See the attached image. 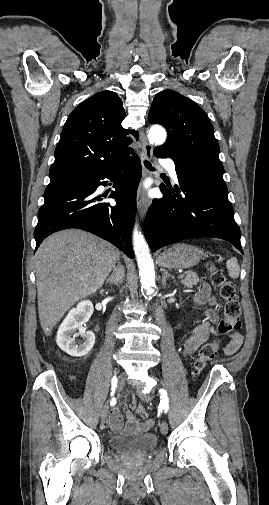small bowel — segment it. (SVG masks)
<instances>
[{"label": "small bowel", "instance_id": "small-bowel-1", "mask_svg": "<svg viewBox=\"0 0 269 505\" xmlns=\"http://www.w3.org/2000/svg\"><path fill=\"white\" fill-rule=\"evenodd\" d=\"M194 302L197 305L214 302L208 284L204 283L201 285L194 298ZM204 314L205 319L194 327L192 334L185 341L183 346V354L185 356L194 353L211 335L217 333L214 328V324L217 321L216 312L213 309H207ZM241 344L242 336L238 333L233 334L225 348V353L227 355L235 353ZM153 424L152 419L139 422L130 410L126 412L125 422L118 408H113L110 414V427L116 433L137 436L146 432Z\"/></svg>", "mask_w": 269, "mask_h": 505}]
</instances>
